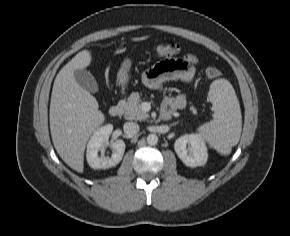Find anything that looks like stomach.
Instances as JSON below:
<instances>
[{
	"label": "stomach",
	"instance_id": "0dacf381",
	"mask_svg": "<svg viewBox=\"0 0 290 236\" xmlns=\"http://www.w3.org/2000/svg\"><path fill=\"white\" fill-rule=\"evenodd\" d=\"M132 66V62L130 59H125L121 64V67L117 74V79L120 85L124 86L129 79V71Z\"/></svg>",
	"mask_w": 290,
	"mask_h": 236
}]
</instances>
